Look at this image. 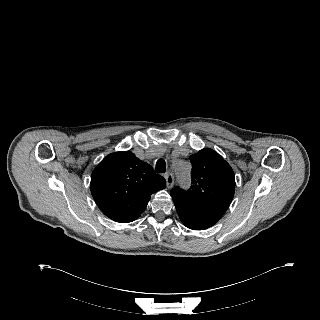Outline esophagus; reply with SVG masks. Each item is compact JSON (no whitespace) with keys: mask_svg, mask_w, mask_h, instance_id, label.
Masks as SVG:
<instances>
[{"mask_svg":"<svg viewBox=\"0 0 320 320\" xmlns=\"http://www.w3.org/2000/svg\"><path fill=\"white\" fill-rule=\"evenodd\" d=\"M165 180H166V183H167V187L168 188H171L174 184V176L172 173L168 172L165 174Z\"/></svg>","mask_w":320,"mask_h":320,"instance_id":"esophagus-1","label":"esophagus"}]
</instances>
